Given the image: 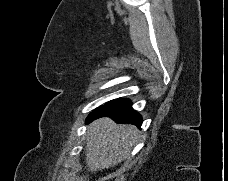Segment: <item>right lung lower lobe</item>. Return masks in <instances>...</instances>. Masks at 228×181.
Here are the masks:
<instances>
[{
  "label": "right lung lower lobe",
  "mask_w": 228,
  "mask_h": 181,
  "mask_svg": "<svg viewBox=\"0 0 228 181\" xmlns=\"http://www.w3.org/2000/svg\"><path fill=\"white\" fill-rule=\"evenodd\" d=\"M102 116H109L117 123H132L139 129L142 124V117L131 107V102L127 99H116L96 108L87 117L86 121L90 122Z\"/></svg>",
  "instance_id": "right-lung-lower-lobe-1"
}]
</instances>
